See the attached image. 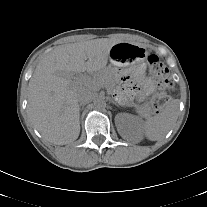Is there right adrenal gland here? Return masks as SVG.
Returning a JSON list of instances; mask_svg holds the SVG:
<instances>
[{
  "label": "right adrenal gland",
  "instance_id": "2a0ac1e0",
  "mask_svg": "<svg viewBox=\"0 0 207 207\" xmlns=\"http://www.w3.org/2000/svg\"><path fill=\"white\" fill-rule=\"evenodd\" d=\"M83 106H84V104H80V105H79V110H82L81 107H83Z\"/></svg>",
  "mask_w": 207,
  "mask_h": 207
}]
</instances>
